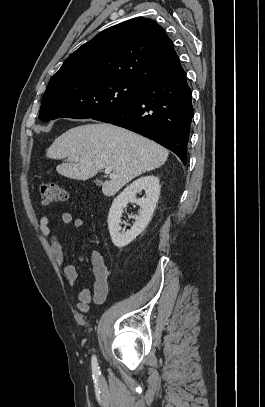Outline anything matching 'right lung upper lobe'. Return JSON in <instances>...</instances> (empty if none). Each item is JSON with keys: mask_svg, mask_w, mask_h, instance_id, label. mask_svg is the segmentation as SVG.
<instances>
[{"mask_svg": "<svg viewBox=\"0 0 265 407\" xmlns=\"http://www.w3.org/2000/svg\"><path fill=\"white\" fill-rule=\"evenodd\" d=\"M178 60L164 29L139 17L105 29L80 46L49 83L103 77L147 86L171 73Z\"/></svg>", "mask_w": 265, "mask_h": 407, "instance_id": "cb5924a9", "label": "right lung upper lobe"}]
</instances>
